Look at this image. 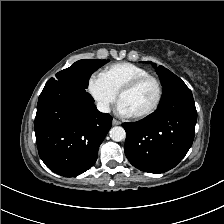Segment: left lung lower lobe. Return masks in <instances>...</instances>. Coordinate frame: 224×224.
I'll return each instance as SVG.
<instances>
[{
  "label": "left lung lower lobe",
  "mask_w": 224,
  "mask_h": 224,
  "mask_svg": "<svg viewBox=\"0 0 224 224\" xmlns=\"http://www.w3.org/2000/svg\"><path fill=\"white\" fill-rule=\"evenodd\" d=\"M196 121L191 90L179 93L160 103L144 119L122 124L126 131V157L145 172L163 173L172 169L191 147Z\"/></svg>",
  "instance_id": "0a47b994"
}]
</instances>
